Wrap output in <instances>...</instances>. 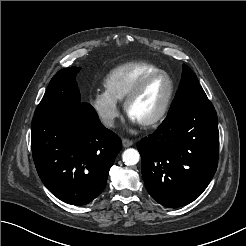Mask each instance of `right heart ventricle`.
Masks as SVG:
<instances>
[{"label": "right heart ventricle", "instance_id": "obj_1", "mask_svg": "<svg viewBox=\"0 0 246 246\" xmlns=\"http://www.w3.org/2000/svg\"><path fill=\"white\" fill-rule=\"evenodd\" d=\"M161 70L149 62H128L112 69L104 79L105 91L117 102L124 101L145 75Z\"/></svg>", "mask_w": 246, "mask_h": 246}]
</instances>
